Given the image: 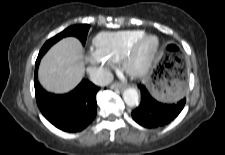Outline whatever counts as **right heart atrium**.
Listing matches in <instances>:
<instances>
[{"instance_id":"obj_1","label":"right heart atrium","mask_w":225,"mask_h":155,"mask_svg":"<svg viewBox=\"0 0 225 155\" xmlns=\"http://www.w3.org/2000/svg\"><path fill=\"white\" fill-rule=\"evenodd\" d=\"M89 71L94 75H104L112 66V62L102 57L96 50H91L86 57Z\"/></svg>"}]
</instances>
